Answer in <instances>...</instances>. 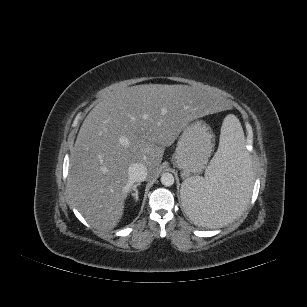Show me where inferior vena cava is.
<instances>
[{
    "label": "inferior vena cava",
    "instance_id": "obj_1",
    "mask_svg": "<svg viewBox=\"0 0 307 307\" xmlns=\"http://www.w3.org/2000/svg\"><path fill=\"white\" fill-rule=\"evenodd\" d=\"M128 175L131 182H142L147 178V168L142 163H133L128 168Z\"/></svg>",
    "mask_w": 307,
    "mask_h": 307
}]
</instances>
